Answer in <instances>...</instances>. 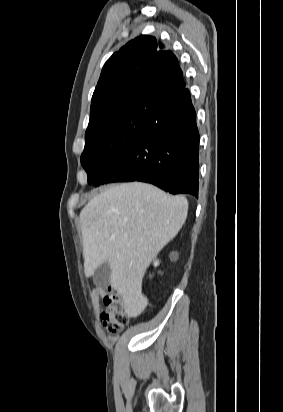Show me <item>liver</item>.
<instances>
[{
  "label": "liver",
  "mask_w": 283,
  "mask_h": 412,
  "mask_svg": "<svg viewBox=\"0 0 283 412\" xmlns=\"http://www.w3.org/2000/svg\"><path fill=\"white\" fill-rule=\"evenodd\" d=\"M188 201L140 182L112 186L81 210L84 271L91 277L105 261L111 286L121 295L128 317L139 315L148 300L142 279L151 261L184 225Z\"/></svg>",
  "instance_id": "obj_1"
}]
</instances>
